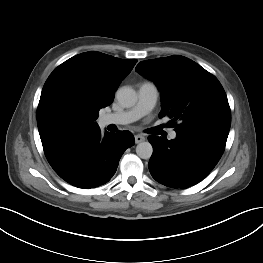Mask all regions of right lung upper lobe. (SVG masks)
I'll list each match as a JSON object with an SVG mask.
<instances>
[{"instance_id": "right-lung-upper-lobe-1", "label": "right lung upper lobe", "mask_w": 263, "mask_h": 263, "mask_svg": "<svg viewBox=\"0 0 263 263\" xmlns=\"http://www.w3.org/2000/svg\"><path fill=\"white\" fill-rule=\"evenodd\" d=\"M136 59L124 60L100 52L76 55L59 65L48 77L42 89L37 124L41 141L43 135L41 112L51 94L65 89L77 92L101 108L110 105L120 82L131 72Z\"/></svg>"}]
</instances>
